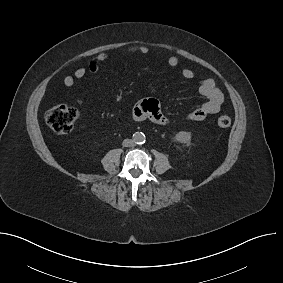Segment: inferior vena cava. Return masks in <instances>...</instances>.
Instances as JSON below:
<instances>
[{
  "label": "inferior vena cava",
  "instance_id": "inferior-vena-cava-1",
  "mask_svg": "<svg viewBox=\"0 0 283 283\" xmlns=\"http://www.w3.org/2000/svg\"><path fill=\"white\" fill-rule=\"evenodd\" d=\"M122 145L124 147H132L134 145V141L132 139H125Z\"/></svg>",
  "mask_w": 283,
  "mask_h": 283
}]
</instances>
